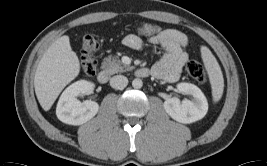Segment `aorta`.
Segmentation results:
<instances>
[{
    "mask_svg": "<svg viewBox=\"0 0 267 166\" xmlns=\"http://www.w3.org/2000/svg\"><path fill=\"white\" fill-rule=\"evenodd\" d=\"M132 86H133V88H135V89H139V88H141V87L143 86V82H142L141 79L136 78V79H134V80L132 81Z\"/></svg>",
    "mask_w": 267,
    "mask_h": 166,
    "instance_id": "762f6f07",
    "label": "aorta"
}]
</instances>
